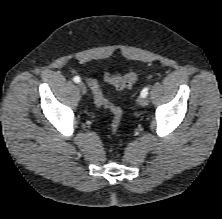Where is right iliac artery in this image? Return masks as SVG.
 Wrapping results in <instances>:
<instances>
[{"label":"right iliac artery","mask_w":222,"mask_h":219,"mask_svg":"<svg viewBox=\"0 0 222 219\" xmlns=\"http://www.w3.org/2000/svg\"><path fill=\"white\" fill-rule=\"evenodd\" d=\"M73 80H74V82H76V83H79V82L81 81V79H80L79 76H75V77L73 78Z\"/></svg>","instance_id":"obj_1"}]
</instances>
